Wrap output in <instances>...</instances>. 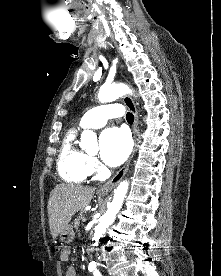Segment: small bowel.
Wrapping results in <instances>:
<instances>
[{
    "label": "small bowel",
    "instance_id": "1",
    "mask_svg": "<svg viewBox=\"0 0 221 276\" xmlns=\"http://www.w3.org/2000/svg\"><path fill=\"white\" fill-rule=\"evenodd\" d=\"M60 257L62 261H67L70 257V251H64ZM65 276H77V272L74 268L70 267L67 269Z\"/></svg>",
    "mask_w": 221,
    "mask_h": 276
}]
</instances>
